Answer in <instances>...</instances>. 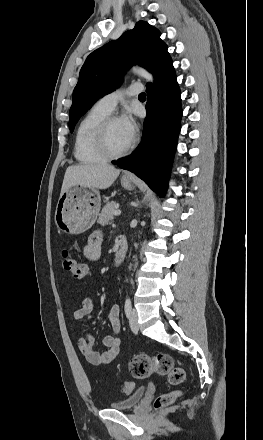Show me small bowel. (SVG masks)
I'll return each mask as SVG.
<instances>
[{
  "label": "small bowel",
  "mask_w": 263,
  "mask_h": 440,
  "mask_svg": "<svg viewBox=\"0 0 263 440\" xmlns=\"http://www.w3.org/2000/svg\"><path fill=\"white\" fill-rule=\"evenodd\" d=\"M103 234L101 231L93 232L83 249L84 256L96 261L100 258ZM95 310V303L90 296L83 299L81 307L75 313L77 321H90ZM109 322L113 334L107 335L103 339L104 350L97 351L94 347L95 339L90 331H84L78 338L77 345L86 360L93 365L108 364L115 359L120 349V339L118 334L121 330L120 307L117 304L111 306L109 311Z\"/></svg>",
  "instance_id": "small-bowel-1"
}]
</instances>
